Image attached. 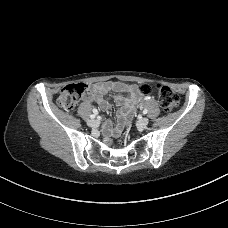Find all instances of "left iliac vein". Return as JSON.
Listing matches in <instances>:
<instances>
[{
	"mask_svg": "<svg viewBox=\"0 0 228 228\" xmlns=\"http://www.w3.org/2000/svg\"><path fill=\"white\" fill-rule=\"evenodd\" d=\"M148 123H149V119L147 117H144L139 121V125L141 127H146L148 125Z\"/></svg>",
	"mask_w": 228,
	"mask_h": 228,
	"instance_id": "obj_1",
	"label": "left iliac vein"
}]
</instances>
